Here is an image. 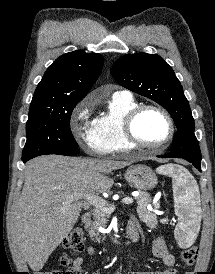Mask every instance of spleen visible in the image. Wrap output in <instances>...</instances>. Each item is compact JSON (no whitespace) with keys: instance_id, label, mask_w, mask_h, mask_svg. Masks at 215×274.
Wrapping results in <instances>:
<instances>
[{"instance_id":"1","label":"spleen","mask_w":215,"mask_h":274,"mask_svg":"<svg viewBox=\"0 0 215 274\" xmlns=\"http://www.w3.org/2000/svg\"><path fill=\"white\" fill-rule=\"evenodd\" d=\"M156 172L172 177L175 213L180 218L174 234L180 245H191L200 225L197 215L198 185L190 172L179 165H162Z\"/></svg>"}]
</instances>
